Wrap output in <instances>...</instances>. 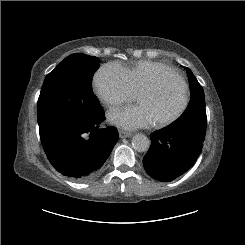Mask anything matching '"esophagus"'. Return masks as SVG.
Here are the masks:
<instances>
[{
    "label": "esophagus",
    "instance_id": "1",
    "mask_svg": "<svg viewBox=\"0 0 245 245\" xmlns=\"http://www.w3.org/2000/svg\"><path fill=\"white\" fill-rule=\"evenodd\" d=\"M131 136H132V133H130V132H126L123 130L119 131V137L120 138H127V137H131Z\"/></svg>",
    "mask_w": 245,
    "mask_h": 245
}]
</instances>
